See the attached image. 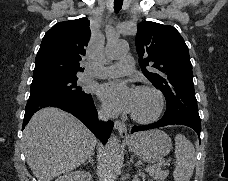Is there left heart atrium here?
<instances>
[{"label": "left heart atrium", "mask_w": 228, "mask_h": 181, "mask_svg": "<svg viewBox=\"0 0 228 181\" xmlns=\"http://www.w3.org/2000/svg\"><path fill=\"white\" fill-rule=\"evenodd\" d=\"M101 95L116 112H129L134 108V91L128 85L113 81L101 87Z\"/></svg>", "instance_id": "obj_1"}]
</instances>
